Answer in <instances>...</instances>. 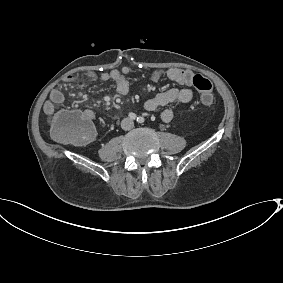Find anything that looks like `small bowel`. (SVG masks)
I'll return each instance as SVG.
<instances>
[{"label":"small bowel","mask_w":283,"mask_h":283,"mask_svg":"<svg viewBox=\"0 0 283 283\" xmlns=\"http://www.w3.org/2000/svg\"><path fill=\"white\" fill-rule=\"evenodd\" d=\"M132 69L130 67H123L122 69H114L110 72H103L99 76L89 72L86 76L73 75L66 79L70 84L82 85L85 78L91 80H100L103 83L112 82L116 91L120 95H127L130 89V77L132 76ZM162 77L175 82L182 88L173 87L164 92H160L155 96L149 98L144 103V108L148 111H159L162 121L168 123L174 118V111L168 108L169 104L179 103L186 104L191 101L193 97L190 87L193 86L194 74L189 70H182L179 68H170L167 70H155L150 75L152 81H158ZM64 102V94L59 89H53L49 94V99L44 104V112L46 115H53L55 106L61 105ZM85 114L92 118L93 113L86 110Z\"/></svg>","instance_id":"1"}]
</instances>
